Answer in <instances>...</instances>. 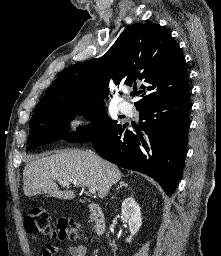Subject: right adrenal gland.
<instances>
[{"instance_id":"2a0ac1e0","label":"right adrenal gland","mask_w":221,"mask_h":256,"mask_svg":"<svg viewBox=\"0 0 221 256\" xmlns=\"http://www.w3.org/2000/svg\"><path fill=\"white\" fill-rule=\"evenodd\" d=\"M121 187H128V184L124 183L123 181H120V185L117 187V190H119Z\"/></svg>"}]
</instances>
